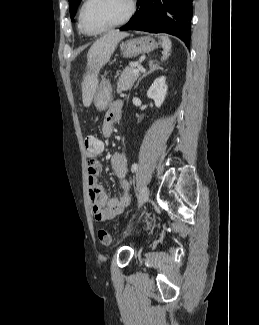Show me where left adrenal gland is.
<instances>
[{
	"mask_svg": "<svg viewBox=\"0 0 259 325\" xmlns=\"http://www.w3.org/2000/svg\"><path fill=\"white\" fill-rule=\"evenodd\" d=\"M149 67H150L149 71L146 72V73H144V74L139 78V80H138V82H137V84H136L135 87H137V86L139 85L140 81H141L144 77H146L147 75L153 73L154 71H156V70H158V69H161V68H160L157 64H155L154 61H152V60L149 61Z\"/></svg>",
	"mask_w": 259,
	"mask_h": 325,
	"instance_id": "a2214340",
	"label": "left adrenal gland"
}]
</instances>
